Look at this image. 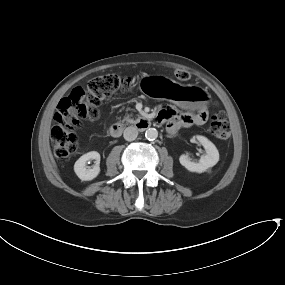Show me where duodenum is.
<instances>
[{"label": "duodenum", "instance_id": "duodenum-1", "mask_svg": "<svg viewBox=\"0 0 285 285\" xmlns=\"http://www.w3.org/2000/svg\"><path fill=\"white\" fill-rule=\"evenodd\" d=\"M148 125H149L148 120L143 118L140 120L137 127H138V129L144 130L148 127ZM123 129H124V126L121 123H114L110 127V133L114 137H119V136H121Z\"/></svg>", "mask_w": 285, "mask_h": 285}]
</instances>
